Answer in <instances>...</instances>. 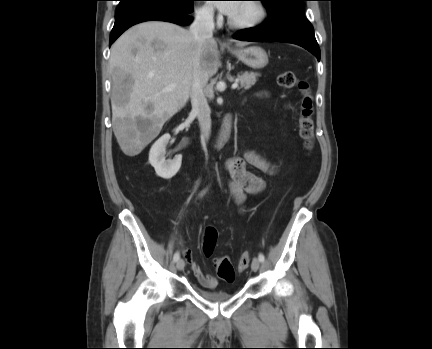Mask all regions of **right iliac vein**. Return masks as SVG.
<instances>
[{"mask_svg": "<svg viewBox=\"0 0 432 349\" xmlns=\"http://www.w3.org/2000/svg\"><path fill=\"white\" fill-rule=\"evenodd\" d=\"M176 267H177V269L180 270V271L183 270L184 267H185V262H184V260H183V259H179V260L177 261Z\"/></svg>", "mask_w": 432, "mask_h": 349, "instance_id": "obj_1", "label": "right iliac vein"}]
</instances>
